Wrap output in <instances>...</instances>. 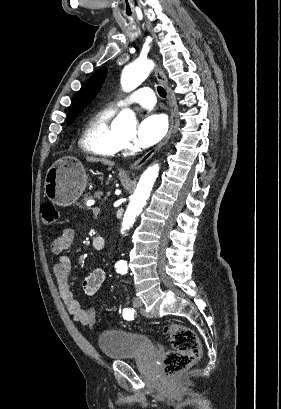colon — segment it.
I'll return each instance as SVG.
<instances>
[{
    "label": "colon",
    "mask_w": 281,
    "mask_h": 409,
    "mask_svg": "<svg viewBox=\"0 0 281 409\" xmlns=\"http://www.w3.org/2000/svg\"><path fill=\"white\" fill-rule=\"evenodd\" d=\"M41 215L45 226H52L58 222V210L51 202L42 203ZM161 328L169 335L173 348L164 356L163 369L166 372L175 374L200 357V343L193 329L178 324L162 325Z\"/></svg>",
    "instance_id": "5ec220e1"
}]
</instances>
